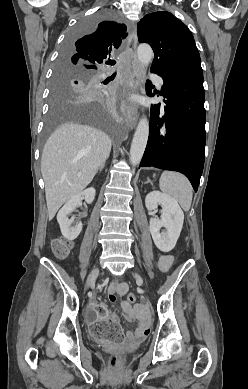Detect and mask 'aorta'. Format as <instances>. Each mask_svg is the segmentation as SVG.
<instances>
[{"label": "aorta", "mask_w": 248, "mask_h": 389, "mask_svg": "<svg viewBox=\"0 0 248 389\" xmlns=\"http://www.w3.org/2000/svg\"><path fill=\"white\" fill-rule=\"evenodd\" d=\"M137 56L143 66H148L153 58L152 48L148 44H141L137 48ZM149 135V122L146 117L142 118L135 130L130 148V163L137 165L144 154Z\"/></svg>", "instance_id": "1"}]
</instances>
